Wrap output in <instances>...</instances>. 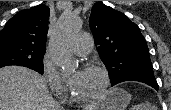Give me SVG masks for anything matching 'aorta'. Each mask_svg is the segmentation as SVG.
<instances>
[{"label":"aorta","mask_w":171,"mask_h":110,"mask_svg":"<svg viewBox=\"0 0 171 110\" xmlns=\"http://www.w3.org/2000/svg\"><path fill=\"white\" fill-rule=\"evenodd\" d=\"M81 20L73 15L60 17L56 29L50 39L49 51L52 61L62 72L68 73L76 68V63L68 49L71 38L79 32Z\"/></svg>","instance_id":"obj_1"}]
</instances>
